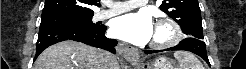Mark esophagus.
I'll return each mask as SVG.
<instances>
[{
  "instance_id": "obj_1",
  "label": "esophagus",
  "mask_w": 246,
  "mask_h": 69,
  "mask_svg": "<svg viewBox=\"0 0 246 69\" xmlns=\"http://www.w3.org/2000/svg\"><path fill=\"white\" fill-rule=\"evenodd\" d=\"M117 52L129 62H137L140 59V53L137 48L123 43L117 45Z\"/></svg>"
}]
</instances>
